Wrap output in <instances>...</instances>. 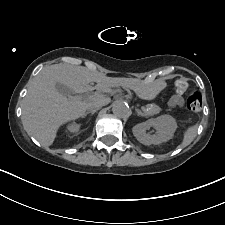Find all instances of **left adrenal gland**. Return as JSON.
<instances>
[{"label": "left adrenal gland", "instance_id": "obj_1", "mask_svg": "<svg viewBox=\"0 0 225 225\" xmlns=\"http://www.w3.org/2000/svg\"><path fill=\"white\" fill-rule=\"evenodd\" d=\"M138 116H146L144 113H142L140 110L136 109Z\"/></svg>", "mask_w": 225, "mask_h": 225}]
</instances>
